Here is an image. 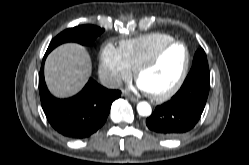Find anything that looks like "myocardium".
<instances>
[{
    "mask_svg": "<svg viewBox=\"0 0 249 165\" xmlns=\"http://www.w3.org/2000/svg\"><path fill=\"white\" fill-rule=\"evenodd\" d=\"M177 44L182 45L186 51L185 62H184L183 68L179 74L178 79L176 80L175 84L172 87H170L169 89L161 93L147 92L148 95L156 101H164L172 97L181 88L188 74L190 60H191L190 51H189L187 44L183 41L174 39L162 45L160 48H158L157 51L153 55H151L148 59L141 62L134 70V77L136 80H138L140 74L143 71H145L146 69L150 68L153 64H155L162 57V55L168 48H170L173 45H177Z\"/></svg>",
    "mask_w": 249,
    "mask_h": 165,
    "instance_id": "1",
    "label": "myocardium"
}]
</instances>
